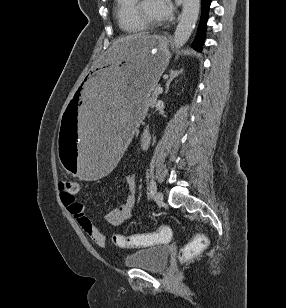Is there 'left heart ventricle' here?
Masks as SVG:
<instances>
[{
	"instance_id": "b2bd125f",
	"label": "left heart ventricle",
	"mask_w": 286,
	"mask_h": 308,
	"mask_svg": "<svg viewBox=\"0 0 286 308\" xmlns=\"http://www.w3.org/2000/svg\"><path fill=\"white\" fill-rule=\"evenodd\" d=\"M142 14L151 21H161L157 5L154 0H145L141 7Z\"/></svg>"
}]
</instances>
